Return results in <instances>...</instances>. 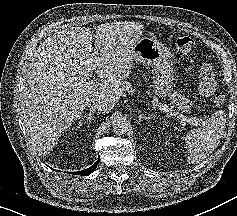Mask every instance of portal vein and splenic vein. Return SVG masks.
Masks as SVG:
<instances>
[{
    "instance_id": "1",
    "label": "portal vein and splenic vein",
    "mask_w": 237,
    "mask_h": 216,
    "mask_svg": "<svg viewBox=\"0 0 237 216\" xmlns=\"http://www.w3.org/2000/svg\"><path fill=\"white\" fill-rule=\"evenodd\" d=\"M99 78H97L95 75L93 76V81H98ZM180 121L183 125H185V123L187 122L188 118L185 115H180Z\"/></svg>"
}]
</instances>
